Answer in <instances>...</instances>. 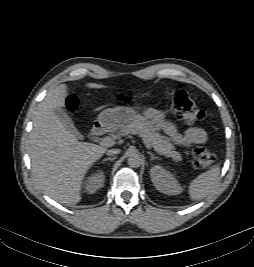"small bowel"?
Listing matches in <instances>:
<instances>
[{
  "label": "small bowel",
  "mask_w": 254,
  "mask_h": 267,
  "mask_svg": "<svg viewBox=\"0 0 254 267\" xmlns=\"http://www.w3.org/2000/svg\"><path fill=\"white\" fill-rule=\"evenodd\" d=\"M146 118L164 133L176 144L190 147L203 144L207 140V133L200 127H190L184 132H179L177 127L168 121L163 113L157 109H148L145 112Z\"/></svg>",
  "instance_id": "obj_1"
}]
</instances>
